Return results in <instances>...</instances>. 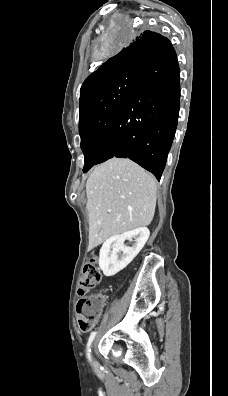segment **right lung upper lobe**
Masks as SVG:
<instances>
[{"label": "right lung upper lobe", "instance_id": "obj_1", "mask_svg": "<svg viewBox=\"0 0 228 396\" xmlns=\"http://www.w3.org/2000/svg\"><path fill=\"white\" fill-rule=\"evenodd\" d=\"M169 41L159 33L144 31L139 37L108 59L84 81L80 104L84 98L104 82L134 70H140L143 61L161 44Z\"/></svg>", "mask_w": 228, "mask_h": 396}]
</instances>
